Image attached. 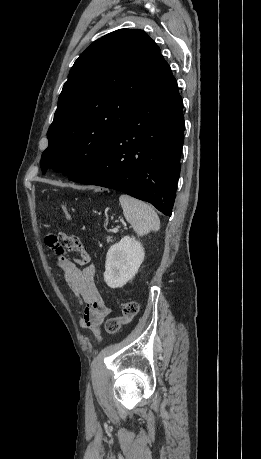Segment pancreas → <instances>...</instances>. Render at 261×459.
I'll use <instances>...</instances> for the list:
<instances>
[{"instance_id":"1","label":"pancreas","mask_w":261,"mask_h":459,"mask_svg":"<svg viewBox=\"0 0 261 459\" xmlns=\"http://www.w3.org/2000/svg\"><path fill=\"white\" fill-rule=\"evenodd\" d=\"M106 240H107L108 243H109V242H113V237H112V236H108V237L106 238Z\"/></svg>"}]
</instances>
